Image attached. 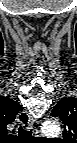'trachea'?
I'll return each mask as SVG.
<instances>
[{
  "label": "trachea",
  "instance_id": "3493384b",
  "mask_svg": "<svg viewBox=\"0 0 77 143\" xmlns=\"http://www.w3.org/2000/svg\"><path fill=\"white\" fill-rule=\"evenodd\" d=\"M18 132H19L20 137H31L32 136V131L26 130L22 128V126L19 127Z\"/></svg>",
  "mask_w": 77,
  "mask_h": 143
}]
</instances>
